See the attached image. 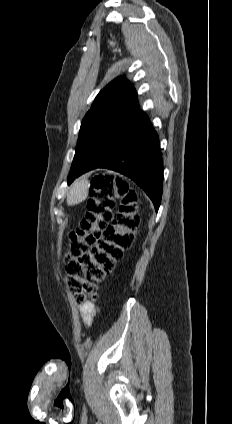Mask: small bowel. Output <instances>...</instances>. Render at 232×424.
Masks as SVG:
<instances>
[{"label": "small bowel", "mask_w": 232, "mask_h": 424, "mask_svg": "<svg viewBox=\"0 0 232 424\" xmlns=\"http://www.w3.org/2000/svg\"><path fill=\"white\" fill-rule=\"evenodd\" d=\"M100 312L101 307L93 303H90L81 308V318L87 328L91 327Z\"/></svg>", "instance_id": "1"}]
</instances>
